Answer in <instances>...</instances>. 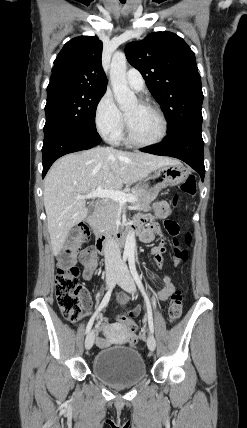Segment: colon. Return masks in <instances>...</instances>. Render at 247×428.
<instances>
[{
    "mask_svg": "<svg viewBox=\"0 0 247 428\" xmlns=\"http://www.w3.org/2000/svg\"><path fill=\"white\" fill-rule=\"evenodd\" d=\"M181 191L189 196H194L197 192V183L194 177H188L181 185ZM178 197L174 198L177 203ZM166 228L173 237L174 260L176 265H183L188 258L187 247L191 244L192 237L186 233L183 239L178 237V226L174 222H168ZM72 244L62 249L58 255V269L55 279V292L59 309L63 317L70 322L77 321L82 313L81 299L85 295L83 286L79 283V268L75 265L77 245L79 242L87 243L90 239V230L85 224H79L75 227L72 235ZM86 264L94 266L91 258L86 259ZM162 307L163 301H160ZM135 309L126 308L124 311H117V320L120 324H125L126 332L136 333L139 327L134 324V318L142 314L143 305L137 302ZM183 295L180 290H175L171 297L168 307V320L170 323L176 322L182 314ZM126 316V317H124ZM128 342L131 348L137 345L138 335L134 334Z\"/></svg>",
    "mask_w": 247,
    "mask_h": 428,
    "instance_id": "colon-1",
    "label": "colon"
}]
</instances>
